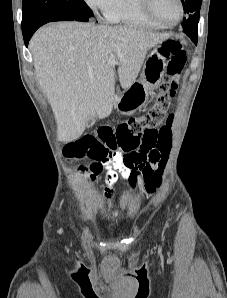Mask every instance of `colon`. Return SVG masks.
<instances>
[{"label": "colon", "mask_w": 227, "mask_h": 298, "mask_svg": "<svg viewBox=\"0 0 227 298\" xmlns=\"http://www.w3.org/2000/svg\"><path fill=\"white\" fill-rule=\"evenodd\" d=\"M159 52L168 62L167 78L161 84L148 111L140 116L131 117L117 126H100L96 131V139L107 142L110 150L141 151L150 159L158 160L161 165H165L167 154L172 147L169 129L171 120H168L166 126H159L164 121L171 98L178 88V81L186 63V52L183 44L176 39L164 42L159 47ZM150 178H154L152 189L160 185V173H150Z\"/></svg>", "instance_id": "obj_1"}]
</instances>
